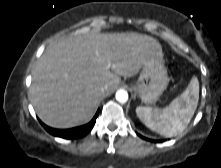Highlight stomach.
Here are the masks:
<instances>
[{"instance_id": "obj_1", "label": "stomach", "mask_w": 221, "mask_h": 168, "mask_svg": "<svg viewBox=\"0 0 221 168\" xmlns=\"http://www.w3.org/2000/svg\"><path fill=\"white\" fill-rule=\"evenodd\" d=\"M168 83L163 57L156 55L143 64L139 78L131 88L143 103L153 104L162 95Z\"/></svg>"}]
</instances>
